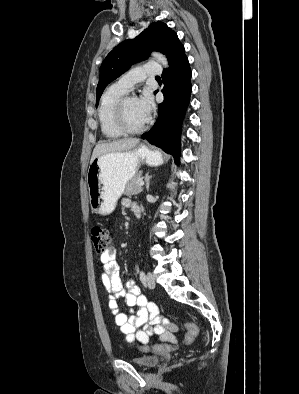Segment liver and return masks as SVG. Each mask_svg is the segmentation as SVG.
I'll list each match as a JSON object with an SVG mask.
<instances>
[{
  "label": "liver",
  "mask_w": 299,
  "mask_h": 394,
  "mask_svg": "<svg viewBox=\"0 0 299 394\" xmlns=\"http://www.w3.org/2000/svg\"><path fill=\"white\" fill-rule=\"evenodd\" d=\"M138 143L139 139L136 138L120 139L108 143H98L93 150L91 162L95 158L107 153L130 151Z\"/></svg>",
  "instance_id": "liver-1"
}]
</instances>
